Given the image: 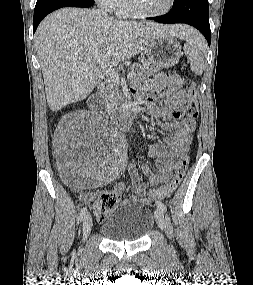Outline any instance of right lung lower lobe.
<instances>
[{"mask_svg":"<svg viewBox=\"0 0 253 285\" xmlns=\"http://www.w3.org/2000/svg\"><path fill=\"white\" fill-rule=\"evenodd\" d=\"M94 4V0H37L34 10V32L41 20L54 10L62 7L87 8Z\"/></svg>","mask_w":253,"mask_h":285,"instance_id":"obj_1","label":"right lung lower lobe"}]
</instances>
